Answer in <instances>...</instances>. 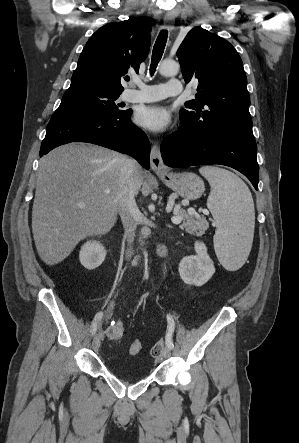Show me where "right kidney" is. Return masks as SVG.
<instances>
[{"mask_svg":"<svg viewBox=\"0 0 299 443\" xmlns=\"http://www.w3.org/2000/svg\"><path fill=\"white\" fill-rule=\"evenodd\" d=\"M106 257L104 246L96 240L87 241L80 250V263L88 270L99 267Z\"/></svg>","mask_w":299,"mask_h":443,"instance_id":"ca27d5eb","label":"right kidney"}]
</instances>
